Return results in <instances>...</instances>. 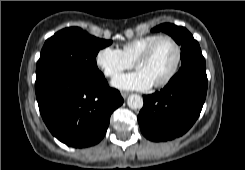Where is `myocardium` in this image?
Instances as JSON below:
<instances>
[{
    "label": "myocardium",
    "instance_id": "1",
    "mask_svg": "<svg viewBox=\"0 0 245 170\" xmlns=\"http://www.w3.org/2000/svg\"><path fill=\"white\" fill-rule=\"evenodd\" d=\"M169 40L176 52V56H175V61L173 64V67L171 68L170 72L160 81L153 83L152 85L154 87H162L167 85L177 74L180 64H181V59H182V50H181V46L179 45V43L170 35L167 34H163V35H159L158 37H156L154 40H152L137 56V58L134 61L135 67L137 68L138 64L143 61L146 60L152 53L153 48L155 47V45L161 41V40Z\"/></svg>",
    "mask_w": 245,
    "mask_h": 170
}]
</instances>
